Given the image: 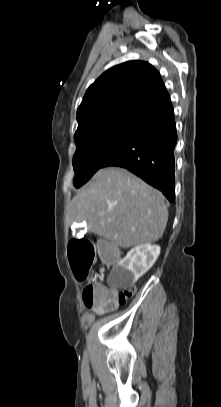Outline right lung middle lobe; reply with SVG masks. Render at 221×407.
I'll list each match as a JSON object with an SVG mask.
<instances>
[{"mask_svg": "<svg viewBox=\"0 0 221 407\" xmlns=\"http://www.w3.org/2000/svg\"><path fill=\"white\" fill-rule=\"evenodd\" d=\"M138 124L122 123L94 130L75 140L76 152L73 157L75 178L73 184L79 188L101 168L134 132Z\"/></svg>", "mask_w": 221, "mask_h": 407, "instance_id": "dd1d6c3e", "label": "right lung middle lobe"}]
</instances>
